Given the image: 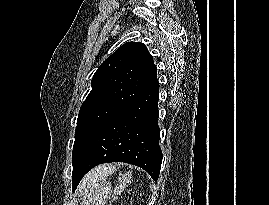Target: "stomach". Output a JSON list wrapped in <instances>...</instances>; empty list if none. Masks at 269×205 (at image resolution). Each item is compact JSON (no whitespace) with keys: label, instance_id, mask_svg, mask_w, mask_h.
<instances>
[{"label":"stomach","instance_id":"0dacf381","mask_svg":"<svg viewBox=\"0 0 269 205\" xmlns=\"http://www.w3.org/2000/svg\"><path fill=\"white\" fill-rule=\"evenodd\" d=\"M111 194V183L100 181L85 192L81 205H104Z\"/></svg>","mask_w":269,"mask_h":205}]
</instances>
